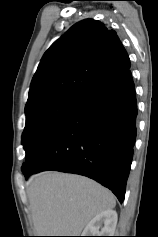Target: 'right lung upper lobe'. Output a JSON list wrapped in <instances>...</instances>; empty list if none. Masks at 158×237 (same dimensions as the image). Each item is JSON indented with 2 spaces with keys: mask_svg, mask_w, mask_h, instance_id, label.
<instances>
[{
  "mask_svg": "<svg viewBox=\"0 0 158 237\" xmlns=\"http://www.w3.org/2000/svg\"><path fill=\"white\" fill-rule=\"evenodd\" d=\"M129 68L128 54L116 32L100 21L82 20L44 53L25 109L56 97L85 101Z\"/></svg>",
  "mask_w": 158,
  "mask_h": 237,
  "instance_id": "cb5924a9",
  "label": "right lung upper lobe"
}]
</instances>
